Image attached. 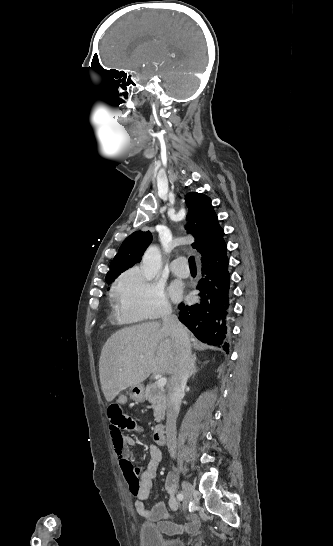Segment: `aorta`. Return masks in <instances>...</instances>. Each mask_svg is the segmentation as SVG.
<instances>
[{
    "instance_id": "obj_1",
    "label": "aorta",
    "mask_w": 333,
    "mask_h": 546,
    "mask_svg": "<svg viewBox=\"0 0 333 546\" xmlns=\"http://www.w3.org/2000/svg\"><path fill=\"white\" fill-rule=\"evenodd\" d=\"M161 252L158 247L150 246L143 255L141 269L145 278L150 281L159 272L161 268Z\"/></svg>"
}]
</instances>
